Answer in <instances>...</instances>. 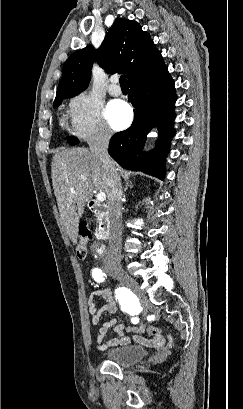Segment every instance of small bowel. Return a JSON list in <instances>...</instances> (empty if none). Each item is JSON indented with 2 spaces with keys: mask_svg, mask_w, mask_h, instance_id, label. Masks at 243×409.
<instances>
[{
  "mask_svg": "<svg viewBox=\"0 0 243 409\" xmlns=\"http://www.w3.org/2000/svg\"><path fill=\"white\" fill-rule=\"evenodd\" d=\"M98 299L101 300V303L97 302ZM87 305L89 312L92 314V323L94 325L100 322L104 313L115 314L117 312L115 296L111 289L93 292L88 298ZM135 318L137 317L132 318V323ZM111 327H114L117 337L106 340V334ZM145 332L146 334L144 335L143 333ZM127 333H132V335L130 336ZM130 343L152 348H162L167 343L164 352H168L173 344V336L169 334L166 340L160 327H154L147 323L141 324L138 327H127L125 324L118 322L115 318L104 321L100 325L97 334L99 350L104 351L111 347L128 345Z\"/></svg>",
  "mask_w": 243,
  "mask_h": 409,
  "instance_id": "obj_1",
  "label": "small bowel"
}]
</instances>
